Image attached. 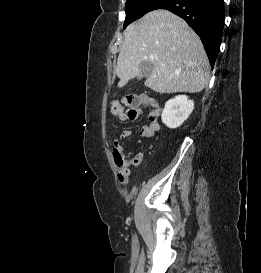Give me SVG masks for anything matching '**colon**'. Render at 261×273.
Here are the masks:
<instances>
[{"instance_id": "1", "label": "colon", "mask_w": 261, "mask_h": 273, "mask_svg": "<svg viewBox=\"0 0 261 273\" xmlns=\"http://www.w3.org/2000/svg\"><path fill=\"white\" fill-rule=\"evenodd\" d=\"M140 102L141 97L134 95H127L120 99H115L111 103V112L115 116L124 114L129 120H135L140 113ZM113 158L117 166H123L125 164V157L121 149H113Z\"/></svg>"}]
</instances>
